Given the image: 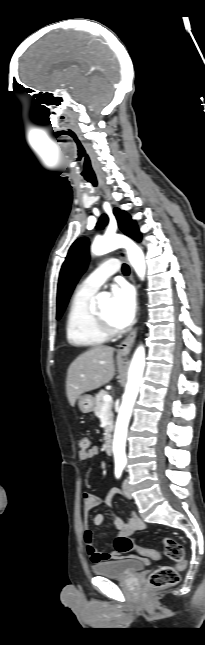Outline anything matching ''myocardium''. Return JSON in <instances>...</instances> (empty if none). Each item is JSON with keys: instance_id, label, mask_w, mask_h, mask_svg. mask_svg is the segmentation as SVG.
Returning <instances> with one entry per match:
<instances>
[{"instance_id": "myocardium-1", "label": "myocardium", "mask_w": 205, "mask_h": 645, "mask_svg": "<svg viewBox=\"0 0 205 645\" xmlns=\"http://www.w3.org/2000/svg\"><path fill=\"white\" fill-rule=\"evenodd\" d=\"M93 315H94V319H95V322H96L97 326L99 327L101 332L103 334H105L107 337H112V336H116L117 334H119V329L116 326L112 325L110 322H108L101 315V313L98 311V309L93 310Z\"/></svg>"}]
</instances>
